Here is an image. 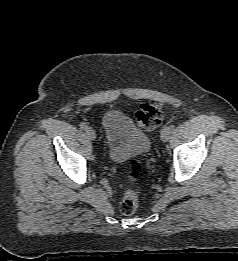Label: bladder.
<instances>
[{
    "label": "bladder",
    "mask_w": 238,
    "mask_h": 261,
    "mask_svg": "<svg viewBox=\"0 0 238 261\" xmlns=\"http://www.w3.org/2000/svg\"><path fill=\"white\" fill-rule=\"evenodd\" d=\"M102 127L108 157L115 163H124L146 155L151 148L148 135L121 111H107L102 118Z\"/></svg>",
    "instance_id": "bladder-1"
}]
</instances>
